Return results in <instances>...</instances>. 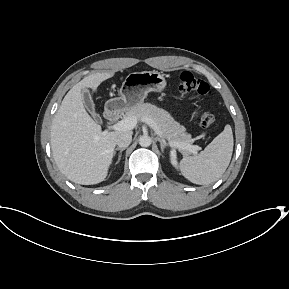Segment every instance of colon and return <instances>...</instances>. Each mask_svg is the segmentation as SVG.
Masks as SVG:
<instances>
[{
	"instance_id": "obj_1",
	"label": "colon",
	"mask_w": 289,
	"mask_h": 289,
	"mask_svg": "<svg viewBox=\"0 0 289 289\" xmlns=\"http://www.w3.org/2000/svg\"><path fill=\"white\" fill-rule=\"evenodd\" d=\"M178 90L181 94L197 93L203 96H209L212 93L211 87L206 81L189 71H185L180 75ZM200 123L203 128H210L215 124V117L212 113L205 112Z\"/></svg>"
}]
</instances>
